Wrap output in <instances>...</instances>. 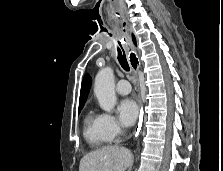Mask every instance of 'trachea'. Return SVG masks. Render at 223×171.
<instances>
[{"label": "trachea", "instance_id": "1", "mask_svg": "<svg viewBox=\"0 0 223 171\" xmlns=\"http://www.w3.org/2000/svg\"><path fill=\"white\" fill-rule=\"evenodd\" d=\"M118 61L125 71H130V67L122 46L118 48Z\"/></svg>", "mask_w": 223, "mask_h": 171}]
</instances>
